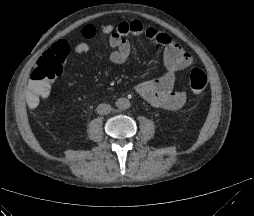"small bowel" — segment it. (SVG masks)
Segmentation results:
<instances>
[{"label":"small bowel","instance_id":"obj_1","mask_svg":"<svg viewBox=\"0 0 254 216\" xmlns=\"http://www.w3.org/2000/svg\"><path fill=\"white\" fill-rule=\"evenodd\" d=\"M100 33L108 38L109 60L113 64H123L128 59L131 53L128 37L131 35H145L162 45L166 72L156 80L139 83L136 86V92L151 105L162 109L174 110L186 103L187 94L179 87L175 73L187 68L192 63V57L170 35L153 26H144L138 20L122 21L117 25L105 24L100 29ZM81 34L85 39L90 40L97 36L98 29L93 24H86ZM63 44L66 45L65 48L62 47ZM89 49L87 42L71 44L67 41H59L46 52L59 50L63 51L67 57L71 52L84 54Z\"/></svg>","mask_w":254,"mask_h":216}]
</instances>
